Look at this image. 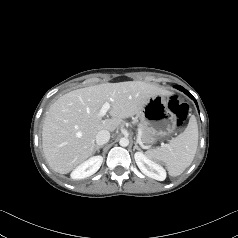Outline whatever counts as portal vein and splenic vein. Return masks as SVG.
Masks as SVG:
<instances>
[{"mask_svg":"<svg viewBox=\"0 0 238 238\" xmlns=\"http://www.w3.org/2000/svg\"><path fill=\"white\" fill-rule=\"evenodd\" d=\"M110 108H111V105L108 102L104 103L103 106L101 107L100 111H99V116L100 117L105 116L106 113L110 110ZM137 142L142 144V141H141L140 137H137Z\"/></svg>","mask_w":238,"mask_h":238,"instance_id":"portal-vein-and-splenic-vein-1","label":"portal vein and splenic vein"}]
</instances>
